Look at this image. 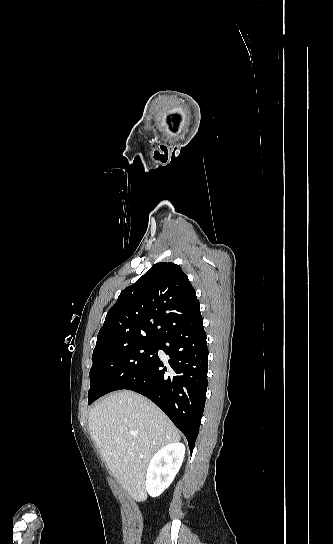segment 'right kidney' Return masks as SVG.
I'll use <instances>...</instances> for the list:
<instances>
[{
  "instance_id": "1",
  "label": "right kidney",
  "mask_w": 333,
  "mask_h": 544,
  "mask_svg": "<svg viewBox=\"0 0 333 544\" xmlns=\"http://www.w3.org/2000/svg\"><path fill=\"white\" fill-rule=\"evenodd\" d=\"M184 454L182 443L168 444L155 453L149 463L145 483L151 497H158L170 486L183 463Z\"/></svg>"
}]
</instances>
